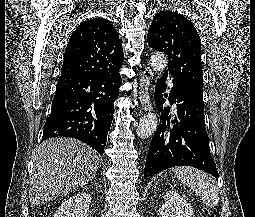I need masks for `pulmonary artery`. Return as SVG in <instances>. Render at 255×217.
Returning <instances> with one entry per match:
<instances>
[{
	"label": "pulmonary artery",
	"mask_w": 255,
	"mask_h": 217,
	"mask_svg": "<svg viewBox=\"0 0 255 217\" xmlns=\"http://www.w3.org/2000/svg\"><path fill=\"white\" fill-rule=\"evenodd\" d=\"M169 87L172 88V82L171 81H169Z\"/></svg>",
	"instance_id": "obj_1"
}]
</instances>
